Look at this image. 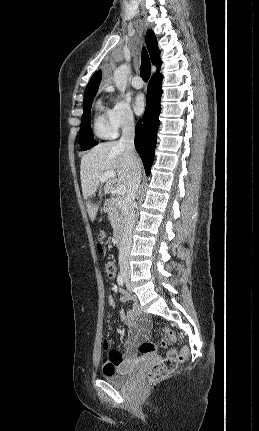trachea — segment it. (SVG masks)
<instances>
[{"instance_id": "1", "label": "trachea", "mask_w": 259, "mask_h": 431, "mask_svg": "<svg viewBox=\"0 0 259 431\" xmlns=\"http://www.w3.org/2000/svg\"><path fill=\"white\" fill-rule=\"evenodd\" d=\"M141 67H140V74L142 79L147 82L150 74H151V65H150V60H149V56L148 53L146 51L145 48H143L142 51V58H141Z\"/></svg>"}]
</instances>
